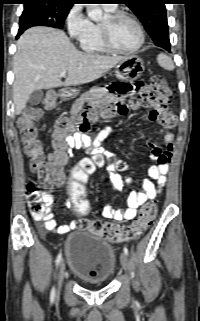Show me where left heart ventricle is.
<instances>
[{"instance_id":"b2bd125f","label":"left heart ventricle","mask_w":200,"mask_h":321,"mask_svg":"<svg viewBox=\"0 0 200 321\" xmlns=\"http://www.w3.org/2000/svg\"><path fill=\"white\" fill-rule=\"evenodd\" d=\"M106 17L102 24H106ZM111 34L114 44L124 50L135 47L139 42V33L135 24L128 18H120L111 25Z\"/></svg>"}]
</instances>
